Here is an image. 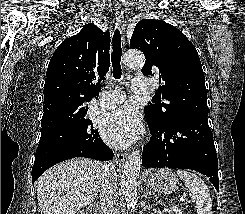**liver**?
<instances>
[{"label": "liver", "instance_id": "1", "mask_svg": "<svg viewBox=\"0 0 245 214\" xmlns=\"http://www.w3.org/2000/svg\"><path fill=\"white\" fill-rule=\"evenodd\" d=\"M103 165L90 159H72L44 172L37 181L41 214H75L97 197Z\"/></svg>", "mask_w": 245, "mask_h": 214}]
</instances>
